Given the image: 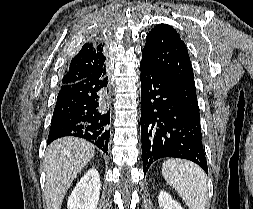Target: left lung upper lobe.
Listing matches in <instances>:
<instances>
[{
    "label": "left lung upper lobe",
    "instance_id": "obj_1",
    "mask_svg": "<svg viewBox=\"0 0 253 209\" xmlns=\"http://www.w3.org/2000/svg\"><path fill=\"white\" fill-rule=\"evenodd\" d=\"M141 63L161 74L188 112L200 120L190 57L185 43L173 27L159 24L148 33Z\"/></svg>",
    "mask_w": 253,
    "mask_h": 209
}]
</instances>
